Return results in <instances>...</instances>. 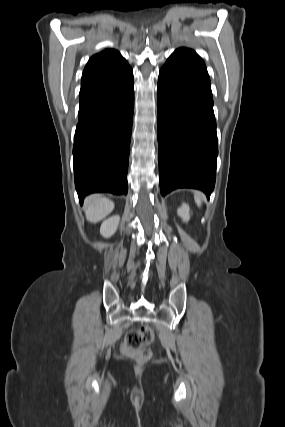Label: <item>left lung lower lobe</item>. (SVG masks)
Here are the masks:
<instances>
[{
  "label": "left lung lower lobe",
  "mask_w": 285,
  "mask_h": 427,
  "mask_svg": "<svg viewBox=\"0 0 285 427\" xmlns=\"http://www.w3.org/2000/svg\"><path fill=\"white\" fill-rule=\"evenodd\" d=\"M158 144L161 194L214 189L217 133L211 84L205 64L192 53L175 51L160 70Z\"/></svg>",
  "instance_id": "left-lung-lower-lobe-1"
}]
</instances>
